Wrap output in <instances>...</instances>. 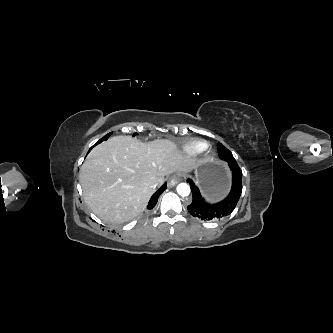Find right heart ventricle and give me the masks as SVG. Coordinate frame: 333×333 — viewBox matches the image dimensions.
Here are the masks:
<instances>
[{
  "label": "right heart ventricle",
  "mask_w": 333,
  "mask_h": 333,
  "mask_svg": "<svg viewBox=\"0 0 333 333\" xmlns=\"http://www.w3.org/2000/svg\"><path fill=\"white\" fill-rule=\"evenodd\" d=\"M207 147V144L204 141L201 140H193L190 142H187L183 145L182 151L187 156H196L200 153H202Z\"/></svg>",
  "instance_id": "obj_1"
}]
</instances>
